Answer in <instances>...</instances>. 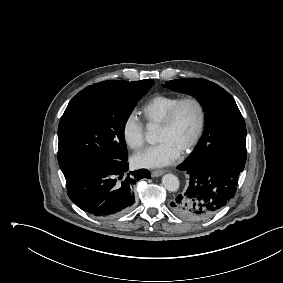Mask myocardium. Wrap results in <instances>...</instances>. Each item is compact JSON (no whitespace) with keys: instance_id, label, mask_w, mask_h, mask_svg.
<instances>
[{"instance_id":"1","label":"myocardium","mask_w":283,"mask_h":283,"mask_svg":"<svg viewBox=\"0 0 283 283\" xmlns=\"http://www.w3.org/2000/svg\"><path fill=\"white\" fill-rule=\"evenodd\" d=\"M187 103H193L197 110H198V124L196 131L192 137V139L189 141V143L183 148L181 151L182 153H188L191 150L194 149V147L198 144L199 140L201 139V136L204 132L205 124H206V109L203 104V102L195 96H187L184 98H181L168 112L166 118L164 121L160 124V128L162 129H170L179 114L180 109Z\"/></svg>"}]
</instances>
